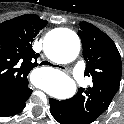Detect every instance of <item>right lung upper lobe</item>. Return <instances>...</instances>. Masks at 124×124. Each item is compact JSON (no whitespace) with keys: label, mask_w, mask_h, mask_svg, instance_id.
I'll list each match as a JSON object with an SVG mask.
<instances>
[{"label":"right lung upper lobe","mask_w":124,"mask_h":124,"mask_svg":"<svg viewBox=\"0 0 124 124\" xmlns=\"http://www.w3.org/2000/svg\"><path fill=\"white\" fill-rule=\"evenodd\" d=\"M47 25L35 14H25L0 24V104L19 100L32 90L27 76L38 65L33 38Z\"/></svg>","instance_id":"obj_1"}]
</instances>
